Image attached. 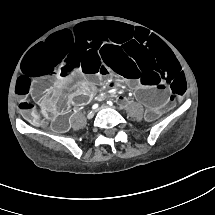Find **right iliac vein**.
I'll return each mask as SVG.
<instances>
[{
	"instance_id": "obj_1",
	"label": "right iliac vein",
	"mask_w": 215,
	"mask_h": 215,
	"mask_svg": "<svg viewBox=\"0 0 215 215\" xmlns=\"http://www.w3.org/2000/svg\"><path fill=\"white\" fill-rule=\"evenodd\" d=\"M94 116V111L88 113L87 118L91 119Z\"/></svg>"
}]
</instances>
